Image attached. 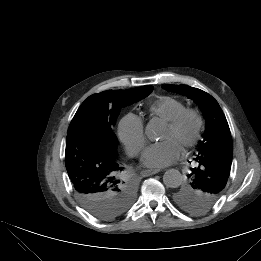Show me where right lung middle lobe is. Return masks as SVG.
Masks as SVG:
<instances>
[{"label": "right lung middle lobe", "mask_w": 261, "mask_h": 261, "mask_svg": "<svg viewBox=\"0 0 261 261\" xmlns=\"http://www.w3.org/2000/svg\"><path fill=\"white\" fill-rule=\"evenodd\" d=\"M153 90L152 86H143L127 90H107L88 97L73 117L68 134L87 132L97 136L109 147L116 149L117 138L112 131L122 107L133 104ZM135 184L118 173L107 184H99L76 197L83 208L101 220H112L123 214L135 197Z\"/></svg>", "instance_id": "dd1d6c3e"}]
</instances>
